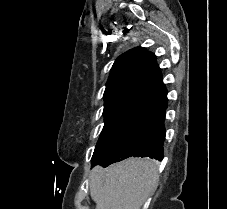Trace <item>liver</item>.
Here are the masks:
<instances>
[{"mask_svg": "<svg viewBox=\"0 0 227 209\" xmlns=\"http://www.w3.org/2000/svg\"><path fill=\"white\" fill-rule=\"evenodd\" d=\"M158 163L152 159H126L90 173V197L96 209H141L158 183Z\"/></svg>", "mask_w": 227, "mask_h": 209, "instance_id": "6515ba94", "label": "liver"}]
</instances>
